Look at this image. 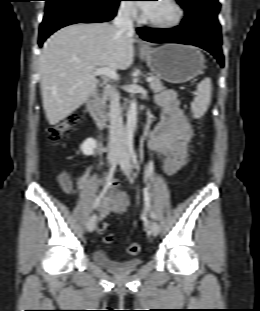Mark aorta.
<instances>
[{"instance_id": "762f6f07", "label": "aorta", "mask_w": 260, "mask_h": 311, "mask_svg": "<svg viewBox=\"0 0 260 311\" xmlns=\"http://www.w3.org/2000/svg\"><path fill=\"white\" fill-rule=\"evenodd\" d=\"M137 126V102L136 100H132L130 103V107L127 113V123L124 132V140L126 142H132L134 132Z\"/></svg>"}]
</instances>
